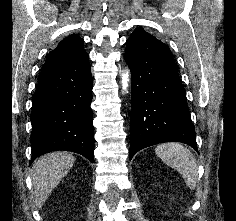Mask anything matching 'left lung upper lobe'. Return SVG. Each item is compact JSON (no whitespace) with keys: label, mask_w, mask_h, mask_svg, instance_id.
Returning <instances> with one entry per match:
<instances>
[{"label":"left lung upper lobe","mask_w":236,"mask_h":221,"mask_svg":"<svg viewBox=\"0 0 236 221\" xmlns=\"http://www.w3.org/2000/svg\"><path fill=\"white\" fill-rule=\"evenodd\" d=\"M136 30H143V29H142V28H137V29H135V31H136Z\"/></svg>","instance_id":"1"}]
</instances>
